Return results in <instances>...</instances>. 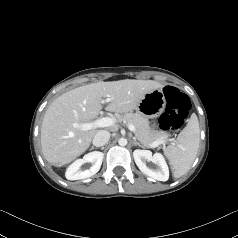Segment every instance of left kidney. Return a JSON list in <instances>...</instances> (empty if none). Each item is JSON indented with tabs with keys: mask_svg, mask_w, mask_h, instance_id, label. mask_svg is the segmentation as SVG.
I'll list each match as a JSON object with an SVG mask.
<instances>
[{
	"mask_svg": "<svg viewBox=\"0 0 238 238\" xmlns=\"http://www.w3.org/2000/svg\"><path fill=\"white\" fill-rule=\"evenodd\" d=\"M134 160L142 173L159 181H167L169 179L168 165L160 153L152 155L150 150L136 149L133 152ZM146 162H152L155 167H148Z\"/></svg>",
	"mask_w": 238,
	"mask_h": 238,
	"instance_id": "5707ae66",
	"label": "left kidney"
}]
</instances>
